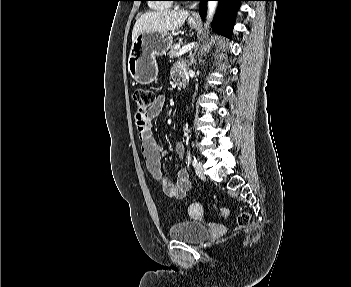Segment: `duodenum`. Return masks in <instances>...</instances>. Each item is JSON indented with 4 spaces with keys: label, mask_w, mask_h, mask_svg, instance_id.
Returning a JSON list of instances; mask_svg holds the SVG:
<instances>
[{
    "label": "duodenum",
    "mask_w": 351,
    "mask_h": 287,
    "mask_svg": "<svg viewBox=\"0 0 351 287\" xmlns=\"http://www.w3.org/2000/svg\"><path fill=\"white\" fill-rule=\"evenodd\" d=\"M181 84H183V80H180Z\"/></svg>",
    "instance_id": "duodenum-1"
}]
</instances>
